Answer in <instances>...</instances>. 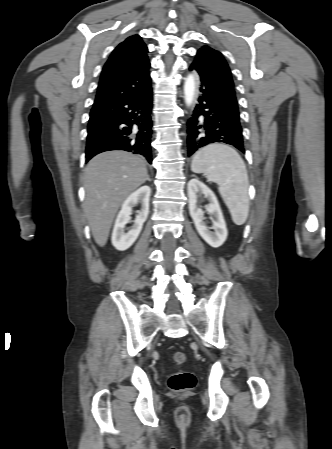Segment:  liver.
<instances>
[{
	"mask_svg": "<svg viewBox=\"0 0 332 449\" xmlns=\"http://www.w3.org/2000/svg\"><path fill=\"white\" fill-rule=\"evenodd\" d=\"M146 162L125 151H108L89 161L84 174V214L95 242L103 247L127 196L147 180Z\"/></svg>",
	"mask_w": 332,
	"mask_h": 449,
	"instance_id": "6515ba94",
	"label": "liver"
}]
</instances>
